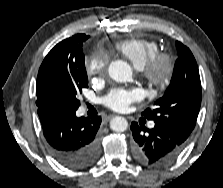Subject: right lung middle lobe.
Segmentation results:
<instances>
[{
	"label": "right lung middle lobe",
	"instance_id": "dd1d6c3e",
	"mask_svg": "<svg viewBox=\"0 0 223 188\" xmlns=\"http://www.w3.org/2000/svg\"><path fill=\"white\" fill-rule=\"evenodd\" d=\"M83 34L76 42L72 57L61 58L40 69L37 77L36 104L43 109H77L78 94L88 87L82 52Z\"/></svg>",
	"mask_w": 223,
	"mask_h": 188
}]
</instances>
